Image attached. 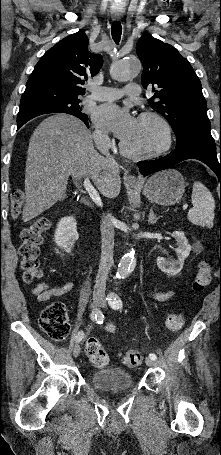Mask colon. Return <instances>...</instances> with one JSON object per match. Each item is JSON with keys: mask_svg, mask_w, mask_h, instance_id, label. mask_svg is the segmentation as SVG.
<instances>
[{"mask_svg": "<svg viewBox=\"0 0 221 455\" xmlns=\"http://www.w3.org/2000/svg\"><path fill=\"white\" fill-rule=\"evenodd\" d=\"M24 192L16 189L11 194V211L13 218L18 219L21 215L24 203ZM52 220L48 217L37 219L33 224L21 231V245L19 255L21 268L24 272V280L27 283L41 278L42 271L39 266V247L43 235L51 228ZM211 281V269L206 263H202L193 281V290L203 291ZM166 327L170 331H179L183 326V317L180 313H170L165 319ZM40 328L52 339L63 340L70 332V323L66 306L61 302H53L46 306L39 317ZM85 353L91 364L97 368H103L109 364V356L100 341L90 337L85 342ZM143 356L138 351H128L121 356L122 364L129 368L141 364Z\"/></svg>", "mask_w": 221, "mask_h": 455, "instance_id": "obj_1", "label": "colon"}]
</instances>
